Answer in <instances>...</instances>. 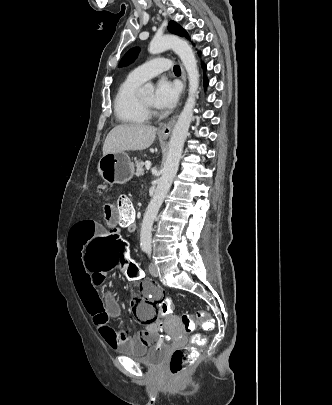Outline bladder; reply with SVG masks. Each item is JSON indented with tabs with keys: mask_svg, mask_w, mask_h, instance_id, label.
Wrapping results in <instances>:
<instances>
[{
	"mask_svg": "<svg viewBox=\"0 0 332 405\" xmlns=\"http://www.w3.org/2000/svg\"><path fill=\"white\" fill-rule=\"evenodd\" d=\"M167 350L168 346L165 343H156L148 348L144 347L140 353H136L131 348H121L119 352L143 364L156 366L165 359Z\"/></svg>",
	"mask_w": 332,
	"mask_h": 405,
	"instance_id": "31cf9c89",
	"label": "bladder"
}]
</instances>
